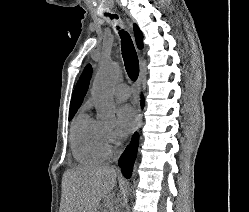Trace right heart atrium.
<instances>
[{
	"mask_svg": "<svg viewBox=\"0 0 249 212\" xmlns=\"http://www.w3.org/2000/svg\"><path fill=\"white\" fill-rule=\"evenodd\" d=\"M99 144L103 153V159H110L115 151V138L112 132L105 127H101L99 132Z\"/></svg>",
	"mask_w": 249,
	"mask_h": 212,
	"instance_id": "obj_1",
	"label": "right heart atrium"
}]
</instances>
